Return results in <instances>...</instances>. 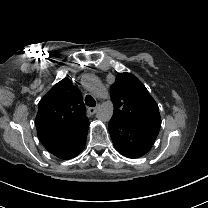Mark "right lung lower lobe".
<instances>
[{"label":"right lung lower lobe","mask_w":208,"mask_h":208,"mask_svg":"<svg viewBox=\"0 0 208 208\" xmlns=\"http://www.w3.org/2000/svg\"><path fill=\"white\" fill-rule=\"evenodd\" d=\"M89 120L68 133L40 139L44 147L60 159H71L85 147Z\"/></svg>","instance_id":"98d812e1"}]
</instances>
